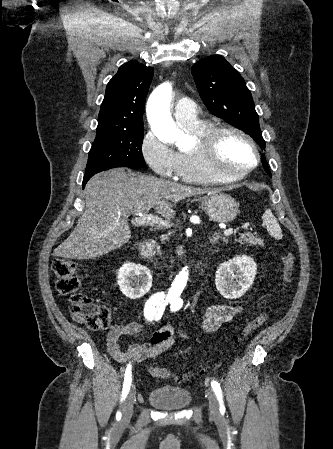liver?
<instances>
[{"instance_id": "obj_1", "label": "liver", "mask_w": 333, "mask_h": 449, "mask_svg": "<svg viewBox=\"0 0 333 449\" xmlns=\"http://www.w3.org/2000/svg\"><path fill=\"white\" fill-rule=\"evenodd\" d=\"M215 190L180 185L153 176L112 169L93 176L86 184L85 211L56 256L92 259L123 246L131 238L128 217L154 209L170 220L173 206L193 195Z\"/></svg>"}]
</instances>
